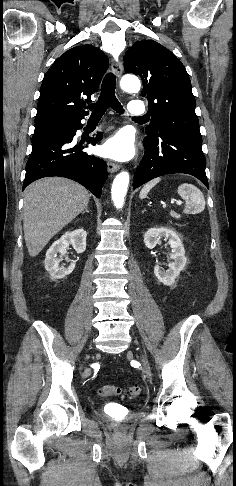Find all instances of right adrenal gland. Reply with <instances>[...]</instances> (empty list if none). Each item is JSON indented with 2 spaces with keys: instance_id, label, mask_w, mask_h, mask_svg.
I'll return each mask as SVG.
<instances>
[{
  "instance_id": "2a0ac1e0",
  "label": "right adrenal gland",
  "mask_w": 236,
  "mask_h": 486,
  "mask_svg": "<svg viewBox=\"0 0 236 486\" xmlns=\"http://www.w3.org/2000/svg\"><path fill=\"white\" fill-rule=\"evenodd\" d=\"M84 213H89L88 208H86V209H85V211H83V213H82V214H84Z\"/></svg>"
}]
</instances>
